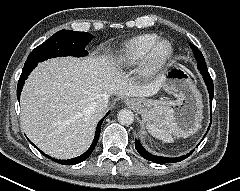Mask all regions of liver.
Listing matches in <instances>:
<instances>
[{
	"label": "liver",
	"instance_id": "6515ba94",
	"mask_svg": "<svg viewBox=\"0 0 240 191\" xmlns=\"http://www.w3.org/2000/svg\"><path fill=\"white\" fill-rule=\"evenodd\" d=\"M163 78L137 84L104 56L61 57L42 63L29 75L21 94V125L28 138L58 159L79 156L90 146L103 113L100 97H149Z\"/></svg>",
	"mask_w": 240,
	"mask_h": 191
}]
</instances>
